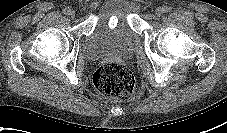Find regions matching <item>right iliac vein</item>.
Segmentation results:
<instances>
[{
  "label": "right iliac vein",
  "mask_w": 227,
  "mask_h": 133,
  "mask_svg": "<svg viewBox=\"0 0 227 133\" xmlns=\"http://www.w3.org/2000/svg\"><path fill=\"white\" fill-rule=\"evenodd\" d=\"M69 16H70L71 18H74V17H75V11H74V10H70Z\"/></svg>",
  "instance_id": "right-iliac-vein-1"
}]
</instances>
